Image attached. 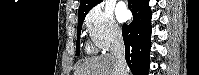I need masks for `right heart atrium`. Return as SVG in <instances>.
<instances>
[{
    "label": "right heart atrium",
    "instance_id": "obj_1",
    "mask_svg": "<svg viewBox=\"0 0 199 75\" xmlns=\"http://www.w3.org/2000/svg\"><path fill=\"white\" fill-rule=\"evenodd\" d=\"M85 26L93 45L107 50L122 38V31L111 11L103 6L92 9L85 19Z\"/></svg>",
    "mask_w": 199,
    "mask_h": 75
}]
</instances>
